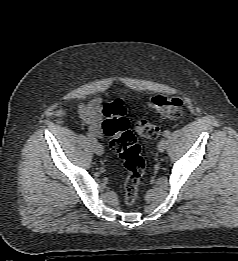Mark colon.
Instances as JSON below:
<instances>
[{
    "instance_id": "colon-1",
    "label": "colon",
    "mask_w": 238,
    "mask_h": 261,
    "mask_svg": "<svg viewBox=\"0 0 238 261\" xmlns=\"http://www.w3.org/2000/svg\"><path fill=\"white\" fill-rule=\"evenodd\" d=\"M147 106L160 116L178 118L182 113L183 101L178 97L157 95L148 100ZM103 113L105 120L102 131L111 138L110 147L121 158L126 170L124 203L132 206L138 197L146 163L137 138L129 129L125 103L120 99L107 103L103 106ZM134 128L144 138H155L159 133V128L153 122L141 117L134 121Z\"/></svg>"
}]
</instances>
